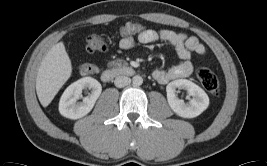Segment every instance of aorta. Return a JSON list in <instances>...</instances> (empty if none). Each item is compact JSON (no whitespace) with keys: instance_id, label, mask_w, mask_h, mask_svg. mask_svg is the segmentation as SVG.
Wrapping results in <instances>:
<instances>
[{"instance_id":"obj_1","label":"aorta","mask_w":267,"mask_h":166,"mask_svg":"<svg viewBox=\"0 0 267 166\" xmlns=\"http://www.w3.org/2000/svg\"><path fill=\"white\" fill-rule=\"evenodd\" d=\"M132 83H133L134 86H140L143 83V78L141 76H139V75H135L132 78Z\"/></svg>"}]
</instances>
